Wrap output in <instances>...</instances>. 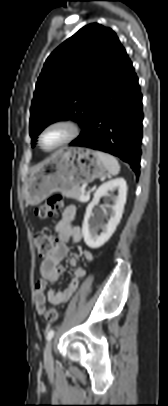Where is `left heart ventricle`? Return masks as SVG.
Masks as SVG:
<instances>
[{
    "label": "left heart ventricle",
    "mask_w": 168,
    "mask_h": 406,
    "mask_svg": "<svg viewBox=\"0 0 168 406\" xmlns=\"http://www.w3.org/2000/svg\"><path fill=\"white\" fill-rule=\"evenodd\" d=\"M66 136V130L62 127H53L48 129L42 137L43 146L52 148L63 141Z\"/></svg>",
    "instance_id": "b2bd125f"
}]
</instances>
